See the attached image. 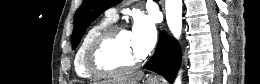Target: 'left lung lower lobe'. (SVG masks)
I'll use <instances>...</instances> for the list:
<instances>
[{
  "label": "left lung lower lobe",
  "mask_w": 260,
  "mask_h": 84,
  "mask_svg": "<svg viewBox=\"0 0 260 84\" xmlns=\"http://www.w3.org/2000/svg\"><path fill=\"white\" fill-rule=\"evenodd\" d=\"M181 51L178 43L161 33L155 50V54L145 65L148 70L163 75L170 83H173L180 67Z\"/></svg>",
  "instance_id": "left-lung-lower-lobe-1"
}]
</instances>
